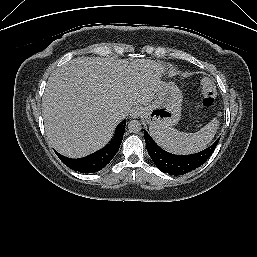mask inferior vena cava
I'll return each mask as SVG.
<instances>
[{
    "label": "inferior vena cava",
    "mask_w": 257,
    "mask_h": 257,
    "mask_svg": "<svg viewBox=\"0 0 257 257\" xmlns=\"http://www.w3.org/2000/svg\"><path fill=\"white\" fill-rule=\"evenodd\" d=\"M125 117H126V114H124V113H118V114L116 115V118H117L118 120H123Z\"/></svg>",
    "instance_id": "obj_1"
}]
</instances>
